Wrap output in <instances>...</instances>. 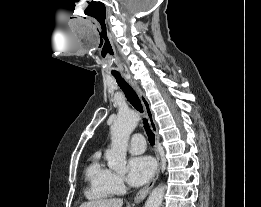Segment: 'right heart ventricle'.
I'll return each mask as SVG.
<instances>
[{"label": "right heart ventricle", "mask_w": 261, "mask_h": 207, "mask_svg": "<svg viewBox=\"0 0 261 207\" xmlns=\"http://www.w3.org/2000/svg\"><path fill=\"white\" fill-rule=\"evenodd\" d=\"M112 171L105 166L100 157H94L85 170L88 187L86 196L91 200H103L112 194L111 176Z\"/></svg>", "instance_id": "right-heart-ventricle-1"}]
</instances>
